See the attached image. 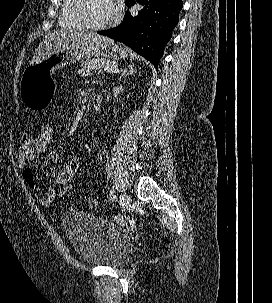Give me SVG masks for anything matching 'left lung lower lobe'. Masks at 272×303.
Segmentation results:
<instances>
[{"mask_svg":"<svg viewBox=\"0 0 272 303\" xmlns=\"http://www.w3.org/2000/svg\"><path fill=\"white\" fill-rule=\"evenodd\" d=\"M145 5L138 15L126 13L123 22L116 28L99 31L98 34L110 37L129 46L148 59L156 68L162 57L165 44L179 21L183 7L182 0H133Z\"/></svg>","mask_w":272,"mask_h":303,"instance_id":"obj_1","label":"left lung lower lobe"}]
</instances>
